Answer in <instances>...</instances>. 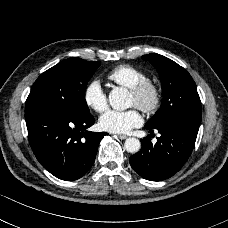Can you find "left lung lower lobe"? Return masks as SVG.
<instances>
[{"instance_id": "obj_1", "label": "left lung lower lobe", "mask_w": 228, "mask_h": 228, "mask_svg": "<svg viewBox=\"0 0 228 228\" xmlns=\"http://www.w3.org/2000/svg\"><path fill=\"white\" fill-rule=\"evenodd\" d=\"M200 123L172 119L156 128L161 134L153 145L150 136L141 139L142 148L129 158L131 167L144 179L161 181L173 176L188 160ZM149 133H153V130Z\"/></svg>"}]
</instances>
